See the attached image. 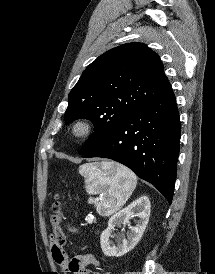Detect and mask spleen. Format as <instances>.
Instances as JSON below:
<instances>
[{
  "instance_id": "spleen-1",
  "label": "spleen",
  "mask_w": 215,
  "mask_h": 274,
  "mask_svg": "<svg viewBox=\"0 0 215 274\" xmlns=\"http://www.w3.org/2000/svg\"><path fill=\"white\" fill-rule=\"evenodd\" d=\"M79 173L85 178L86 192L99 195L96 199L90 197L89 203H96L97 211L102 216H110L119 210L137 183L132 171L119 164L113 167L110 162L81 165Z\"/></svg>"
}]
</instances>
